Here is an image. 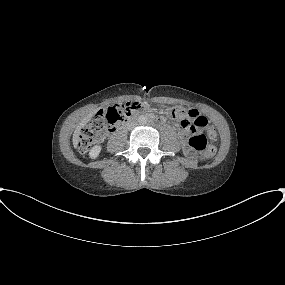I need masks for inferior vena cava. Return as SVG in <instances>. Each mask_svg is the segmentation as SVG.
<instances>
[{
    "label": "inferior vena cava",
    "mask_w": 285,
    "mask_h": 285,
    "mask_svg": "<svg viewBox=\"0 0 285 285\" xmlns=\"http://www.w3.org/2000/svg\"><path fill=\"white\" fill-rule=\"evenodd\" d=\"M137 126V122H131L127 125V129L131 130Z\"/></svg>",
    "instance_id": "1"
}]
</instances>
